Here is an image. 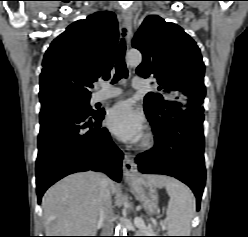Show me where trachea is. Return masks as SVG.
<instances>
[{
  "instance_id": "1",
  "label": "trachea",
  "mask_w": 248,
  "mask_h": 237,
  "mask_svg": "<svg viewBox=\"0 0 248 237\" xmlns=\"http://www.w3.org/2000/svg\"><path fill=\"white\" fill-rule=\"evenodd\" d=\"M126 29H123L122 35L125 36ZM125 51L126 45L124 39L121 40L120 45L116 54V74L112 80L113 83H116L122 78L128 77V70L125 64Z\"/></svg>"
}]
</instances>
